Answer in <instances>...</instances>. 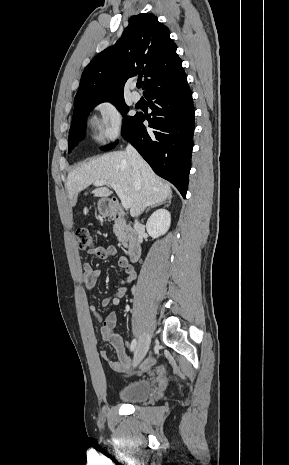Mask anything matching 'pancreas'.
I'll use <instances>...</instances> for the list:
<instances>
[{
  "label": "pancreas",
  "instance_id": "obj_1",
  "mask_svg": "<svg viewBox=\"0 0 289 465\" xmlns=\"http://www.w3.org/2000/svg\"><path fill=\"white\" fill-rule=\"evenodd\" d=\"M113 231L119 242L122 243L123 246L127 245V235L124 230L123 225L119 222L116 221L114 226H113Z\"/></svg>",
  "mask_w": 289,
  "mask_h": 465
}]
</instances>
